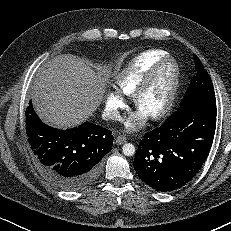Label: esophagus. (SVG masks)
I'll return each instance as SVG.
<instances>
[{
    "label": "esophagus",
    "instance_id": "1",
    "mask_svg": "<svg viewBox=\"0 0 231 231\" xmlns=\"http://www.w3.org/2000/svg\"><path fill=\"white\" fill-rule=\"evenodd\" d=\"M126 142H127L126 137H124V136H122V135L117 136V137L115 138V143H116L117 145H121V144H124V143H126Z\"/></svg>",
    "mask_w": 231,
    "mask_h": 231
}]
</instances>
